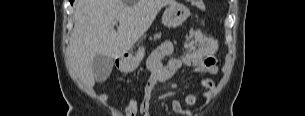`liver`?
Listing matches in <instances>:
<instances>
[{"label":"liver","instance_id":"liver-1","mask_svg":"<svg viewBox=\"0 0 305 116\" xmlns=\"http://www.w3.org/2000/svg\"><path fill=\"white\" fill-rule=\"evenodd\" d=\"M174 0H76L70 38V64L83 85L95 83L97 54L116 59L144 35L162 7ZM119 22L117 31L114 23Z\"/></svg>","mask_w":305,"mask_h":116}]
</instances>
